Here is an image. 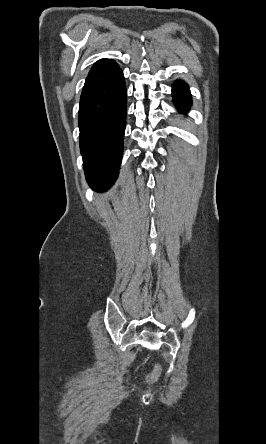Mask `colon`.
<instances>
[{
    "instance_id": "colon-1",
    "label": "colon",
    "mask_w": 266,
    "mask_h": 444,
    "mask_svg": "<svg viewBox=\"0 0 266 444\" xmlns=\"http://www.w3.org/2000/svg\"><path fill=\"white\" fill-rule=\"evenodd\" d=\"M162 374V368L161 366H156L155 370L153 371V373L150 375V379L151 380H156L160 377V375Z\"/></svg>"
}]
</instances>
